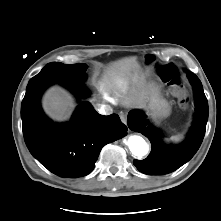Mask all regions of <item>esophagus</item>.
Masks as SVG:
<instances>
[{
    "label": "esophagus",
    "instance_id": "34e87169",
    "mask_svg": "<svg viewBox=\"0 0 221 221\" xmlns=\"http://www.w3.org/2000/svg\"><path fill=\"white\" fill-rule=\"evenodd\" d=\"M120 119L124 124L127 123V116L125 114H120Z\"/></svg>",
    "mask_w": 221,
    "mask_h": 221
}]
</instances>
